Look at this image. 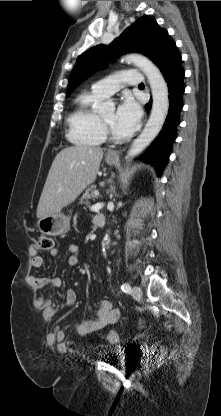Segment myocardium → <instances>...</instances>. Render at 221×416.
Here are the masks:
<instances>
[{
	"mask_svg": "<svg viewBox=\"0 0 221 416\" xmlns=\"http://www.w3.org/2000/svg\"><path fill=\"white\" fill-rule=\"evenodd\" d=\"M99 118H100L102 129H103V132H104V135H105L106 138H108L109 140H111L113 142H120L124 139L121 136H116L113 133L111 127L108 125V123L105 122L104 119L101 116H99Z\"/></svg>",
	"mask_w": 221,
	"mask_h": 416,
	"instance_id": "1",
	"label": "myocardium"
}]
</instances>
